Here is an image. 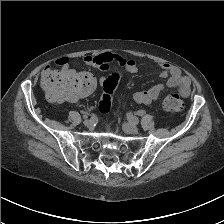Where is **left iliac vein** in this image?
<instances>
[{
  "instance_id": "obj_1",
  "label": "left iliac vein",
  "mask_w": 224,
  "mask_h": 224,
  "mask_svg": "<svg viewBox=\"0 0 224 224\" xmlns=\"http://www.w3.org/2000/svg\"><path fill=\"white\" fill-rule=\"evenodd\" d=\"M122 128H123L124 132L127 133V134H136V133H138V128L135 125L131 124V123H124L122 125Z\"/></svg>"
}]
</instances>
